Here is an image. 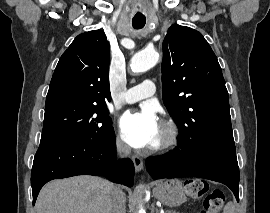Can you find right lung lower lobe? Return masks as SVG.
Here are the masks:
<instances>
[{
    "label": "right lung lower lobe",
    "mask_w": 270,
    "mask_h": 213,
    "mask_svg": "<svg viewBox=\"0 0 270 213\" xmlns=\"http://www.w3.org/2000/svg\"><path fill=\"white\" fill-rule=\"evenodd\" d=\"M86 174L105 176L112 182L128 187L133 185L132 161L116 160L114 130L98 139L41 140L31 172L33 204L48 181Z\"/></svg>",
    "instance_id": "98d812e1"
}]
</instances>
